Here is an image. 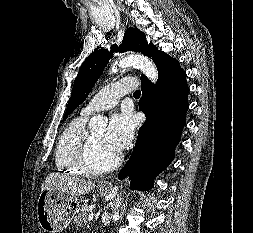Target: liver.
<instances>
[{"label":"liver","instance_id":"1","mask_svg":"<svg viewBox=\"0 0 253 233\" xmlns=\"http://www.w3.org/2000/svg\"><path fill=\"white\" fill-rule=\"evenodd\" d=\"M95 187L92 181L71 177L65 174L50 173L43 181L41 191L56 189L71 196H81L90 192Z\"/></svg>","mask_w":253,"mask_h":233}]
</instances>
